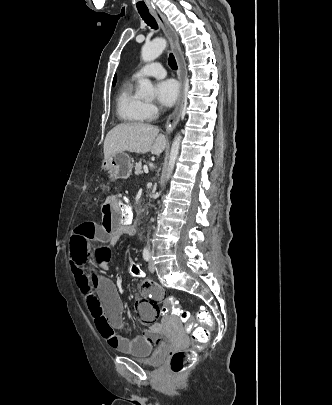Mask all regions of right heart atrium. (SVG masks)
<instances>
[{"label": "right heart atrium", "instance_id": "1", "mask_svg": "<svg viewBox=\"0 0 332 405\" xmlns=\"http://www.w3.org/2000/svg\"><path fill=\"white\" fill-rule=\"evenodd\" d=\"M157 112H158V108L155 105H153L151 103L146 104V113L149 118L154 117L157 114Z\"/></svg>", "mask_w": 332, "mask_h": 405}]
</instances>
